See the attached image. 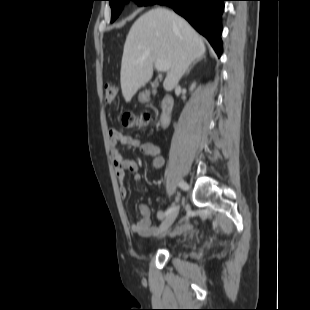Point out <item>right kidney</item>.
<instances>
[{
	"mask_svg": "<svg viewBox=\"0 0 310 310\" xmlns=\"http://www.w3.org/2000/svg\"><path fill=\"white\" fill-rule=\"evenodd\" d=\"M195 88V83H193L190 87V91H192Z\"/></svg>",
	"mask_w": 310,
	"mask_h": 310,
	"instance_id": "right-kidney-1",
	"label": "right kidney"
}]
</instances>
